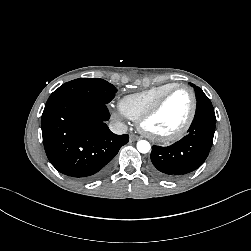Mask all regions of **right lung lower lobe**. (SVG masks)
Returning <instances> with one entry per match:
<instances>
[{"label":"right lung lower lobe","instance_id":"right-lung-lower-lobe-1","mask_svg":"<svg viewBox=\"0 0 251 251\" xmlns=\"http://www.w3.org/2000/svg\"><path fill=\"white\" fill-rule=\"evenodd\" d=\"M106 104L66 97L46 103L41 128L51 164L61 173L81 181L103 175L109 162L129 136L115 135L106 125Z\"/></svg>","mask_w":251,"mask_h":251}]
</instances>
